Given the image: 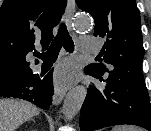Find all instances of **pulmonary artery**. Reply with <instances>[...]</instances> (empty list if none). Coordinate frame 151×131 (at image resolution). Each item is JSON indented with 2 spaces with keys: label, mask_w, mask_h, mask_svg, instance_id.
<instances>
[{
  "label": "pulmonary artery",
  "mask_w": 151,
  "mask_h": 131,
  "mask_svg": "<svg viewBox=\"0 0 151 131\" xmlns=\"http://www.w3.org/2000/svg\"><path fill=\"white\" fill-rule=\"evenodd\" d=\"M98 46V41L89 36L81 37L79 40V47L84 52H92Z\"/></svg>",
  "instance_id": "1"
}]
</instances>
